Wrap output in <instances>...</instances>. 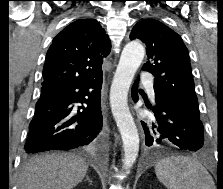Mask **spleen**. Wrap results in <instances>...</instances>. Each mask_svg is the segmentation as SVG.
I'll return each mask as SVG.
<instances>
[{"label":"spleen","instance_id":"1","mask_svg":"<svg viewBox=\"0 0 223 189\" xmlns=\"http://www.w3.org/2000/svg\"><path fill=\"white\" fill-rule=\"evenodd\" d=\"M155 173L167 189H215L207 170L190 157L164 158L156 164Z\"/></svg>","mask_w":223,"mask_h":189}]
</instances>
